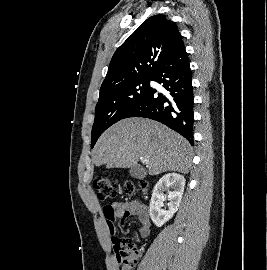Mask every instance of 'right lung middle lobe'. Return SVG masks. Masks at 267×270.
<instances>
[{"instance_id": "right-lung-middle-lobe-1", "label": "right lung middle lobe", "mask_w": 267, "mask_h": 270, "mask_svg": "<svg viewBox=\"0 0 267 270\" xmlns=\"http://www.w3.org/2000/svg\"><path fill=\"white\" fill-rule=\"evenodd\" d=\"M150 77L134 79L100 91L92 128L91 148L99 136L125 115L145 96Z\"/></svg>"}]
</instances>
